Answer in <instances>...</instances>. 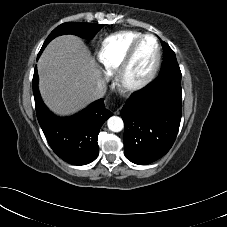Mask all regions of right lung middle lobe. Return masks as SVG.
<instances>
[{"mask_svg":"<svg viewBox=\"0 0 227 227\" xmlns=\"http://www.w3.org/2000/svg\"><path fill=\"white\" fill-rule=\"evenodd\" d=\"M102 28L101 24L84 23V22H67L55 28L45 40L40 53L46 45L55 37L64 34H74L83 38L92 39L96 33Z\"/></svg>","mask_w":227,"mask_h":227,"instance_id":"dd1d6c3e","label":"right lung middle lobe"}]
</instances>
